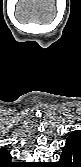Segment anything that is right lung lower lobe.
Listing matches in <instances>:
<instances>
[{"label": "right lung lower lobe", "instance_id": "right-lung-lower-lobe-1", "mask_svg": "<svg viewBox=\"0 0 81 167\" xmlns=\"http://www.w3.org/2000/svg\"><path fill=\"white\" fill-rule=\"evenodd\" d=\"M18 166H20V164H18V163H10L9 165H7V167H18Z\"/></svg>", "mask_w": 81, "mask_h": 167}]
</instances>
